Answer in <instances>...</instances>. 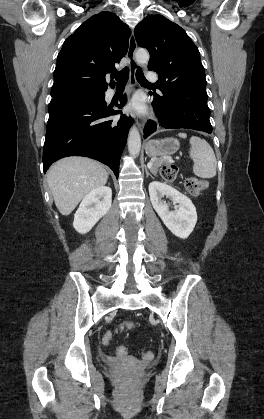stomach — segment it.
I'll return each mask as SVG.
<instances>
[{"label": "stomach", "mask_w": 264, "mask_h": 419, "mask_svg": "<svg viewBox=\"0 0 264 419\" xmlns=\"http://www.w3.org/2000/svg\"><path fill=\"white\" fill-rule=\"evenodd\" d=\"M180 143L175 138L150 140L145 145L147 155L151 157H168L179 149Z\"/></svg>", "instance_id": "0dacf381"}]
</instances>
